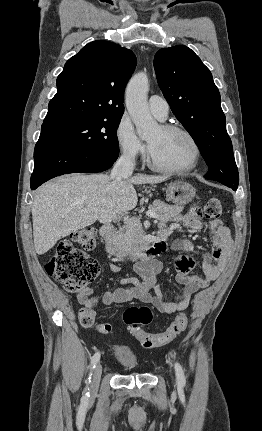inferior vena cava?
Returning <instances> with one entry per match:
<instances>
[{
	"label": "inferior vena cava",
	"mask_w": 262,
	"mask_h": 431,
	"mask_svg": "<svg viewBox=\"0 0 262 431\" xmlns=\"http://www.w3.org/2000/svg\"><path fill=\"white\" fill-rule=\"evenodd\" d=\"M135 167V156L130 153H123L115 163L110 178L113 180H121L130 177Z\"/></svg>",
	"instance_id": "1"
}]
</instances>
